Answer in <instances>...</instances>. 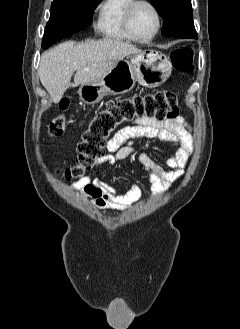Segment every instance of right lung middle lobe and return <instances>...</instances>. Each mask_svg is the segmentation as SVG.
<instances>
[{"label":"right lung middle lobe","instance_id":"obj_1","mask_svg":"<svg viewBox=\"0 0 240 329\" xmlns=\"http://www.w3.org/2000/svg\"><path fill=\"white\" fill-rule=\"evenodd\" d=\"M101 1H53L50 9V19L46 25L42 40V47L47 48L57 41L90 25L95 5Z\"/></svg>","mask_w":240,"mask_h":329}]
</instances>
